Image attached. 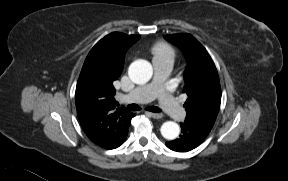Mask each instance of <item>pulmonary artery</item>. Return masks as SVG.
<instances>
[{
	"label": "pulmonary artery",
	"mask_w": 288,
	"mask_h": 181,
	"mask_svg": "<svg viewBox=\"0 0 288 181\" xmlns=\"http://www.w3.org/2000/svg\"><path fill=\"white\" fill-rule=\"evenodd\" d=\"M153 66V80L145 86L132 90L126 95V98L136 103H144L157 98L161 108L173 119H183L185 117L184 109L169 93L166 86V78L172 70L173 62L169 59L153 60Z\"/></svg>",
	"instance_id": "obj_1"
}]
</instances>
